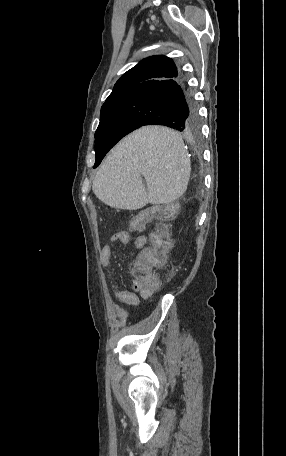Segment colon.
<instances>
[{"mask_svg": "<svg viewBox=\"0 0 286 456\" xmlns=\"http://www.w3.org/2000/svg\"><path fill=\"white\" fill-rule=\"evenodd\" d=\"M147 216L136 217L132 222L135 230H142L147 222ZM122 235L118 232L112 236V239H118ZM168 249L166 235L160 227L151 236V246L141 252L138 259L132 267V276L137 290L154 291L161 284L160 278L153 272V268L163 266Z\"/></svg>", "mask_w": 286, "mask_h": 456, "instance_id": "colon-1", "label": "colon"}]
</instances>
